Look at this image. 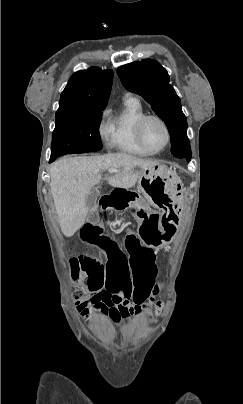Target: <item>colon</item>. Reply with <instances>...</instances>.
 I'll use <instances>...</instances> for the list:
<instances>
[{"instance_id": "colon-1", "label": "colon", "mask_w": 243, "mask_h": 404, "mask_svg": "<svg viewBox=\"0 0 243 404\" xmlns=\"http://www.w3.org/2000/svg\"><path fill=\"white\" fill-rule=\"evenodd\" d=\"M72 270H73V274L74 275H77L82 269H81V264H80V262L76 259V258H74L73 260H72ZM75 297L77 298V299H79V298H81V293L80 292H77L76 294H75ZM140 299H142V296L140 295V294H137L136 296H134V300L135 301H139Z\"/></svg>"}]
</instances>
